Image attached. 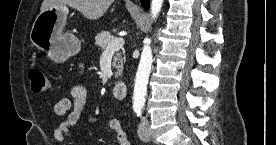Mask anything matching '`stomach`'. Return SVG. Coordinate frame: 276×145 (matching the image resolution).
<instances>
[{
    "instance_id": "0dacf381",
    "label": "stomach",
    "mask_w": 276,
    "mask_h": 145,
    "mask_svg": "<svg viewBox=\"0 0 276 145\" xmlns=\"http://www.w3.org/2000/svg\"><path fill=\"white\" fill-rule=\"evenodd\" d=\"M67 15L65 5L52 6L40 12L30 32L32 44L57 62L65 61L81 49L79 39L70 32H64Z\"/></svg>"
}]
</instances>
